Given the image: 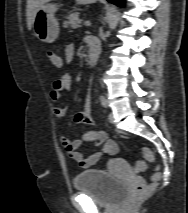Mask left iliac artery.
Returning <instances> with one entry per match:
<instances>
[{
  "label": "left iliac artery",
  "instance_id": "1",
  "mask_svg": "<svg viewBox=\"0 0 188 213\" xmlns=\"http://www.w3.org/2000/svg\"><path fill=\"white\" fill-rule=\"evenodd\" d=\"M100 101H101L102 106L106 108L107 107V100L104 97H101Z\"/></svg>",
  "mask_w": 188,
  "mask_h": 213
}]
</instances>
